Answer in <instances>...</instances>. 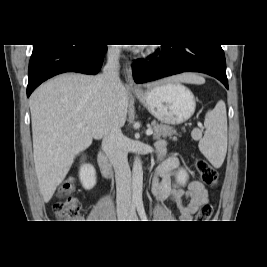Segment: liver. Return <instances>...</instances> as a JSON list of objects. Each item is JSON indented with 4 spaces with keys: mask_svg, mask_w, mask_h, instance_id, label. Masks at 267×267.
<instances>
[{
    "mask_svg": "<svg viewBox=\"0 0 267 267\" xmlns=\"http://www.w3.org/2000/svg\"><path fill=\"white\" fill-rule=\"evenodd\" d=\"M98 77L63 74L41 85L30 97L35 171L46 203L65 179L76 155L88 148L93 138L104 136L111 116L120 126L126 121L127 90L122 84L117 91L108 90ZM166 81L205 83L193 73Z\"/></svg>",
    "mask_w": 267,
    "mask_h": 267,
    "instance_id": "1",
    "label": "liver"
}]
</instances>
